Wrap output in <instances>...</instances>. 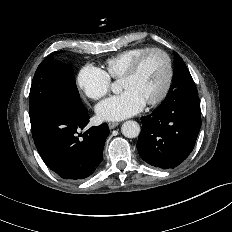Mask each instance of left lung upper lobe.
Listing matches in <instances>:
<instances>
[{"label":"left lung upper lobe","mask_w":232,"mask_h":232,"mask_svg":"<svg viewBox=\"0 0 232 232\" xmlns=\"http://www.w3.org/2000/svg\"><path fill=\"white\" fill-rule=\"evenodd\" d=\"M174 64L173 83L167 97L198 96L194 81L182 58L176 52H174Z\"/></svg>","instance_id":"left-lung-upper-lobe-1"}]
</instances>
